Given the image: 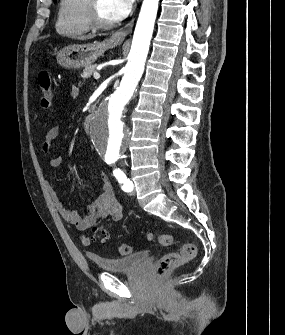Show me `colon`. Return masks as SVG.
Here are the masks:
<instances>
[{"label": "colon", "instance_id": "1", "mask_svg": "<svg viewBox=\"0 0 285 335\" xmlns=\"http://www.w3.org/2000/svg\"><path fill=\"white\" fill-rule=\"evenodd\" d=\"M38 83L40 86V106L47 110L50 108L53 99L52 83L49 72L42 69L38 74ZM148 239L155 240L163 246H171L175 238L172 234H154L148 233ZM102 239H108L106 232L101 233ZM121 255H127L131 252V247L127 244H122L118 248ZM197 254L195 244L184 242L178 252L168 253L162 256L154 266V274L156 277H163L171 273L175 268L191 261Z\"/></svg>", "mask_w": 285, "mask_h": 335}]
</instances>
